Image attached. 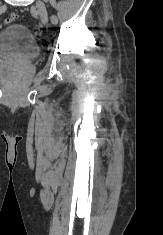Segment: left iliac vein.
<instances>
[{"instance_id":"1","label":"left iliac vein","mask_w":163,"mask_h":235,"mask_svg":"<svg viewBox=\"0 0 163 235\" xmlns=\"http://www.w3.org/2000/svg\"><path fill=\"white\" fill-rule=\"evenodd\" d=\"M35 6L38 10V14L40 16L41 22L44 25H46L48 23V14H47V10L45 8L44 3L41 0H37Z\"/></svg>"}]
</instances>
